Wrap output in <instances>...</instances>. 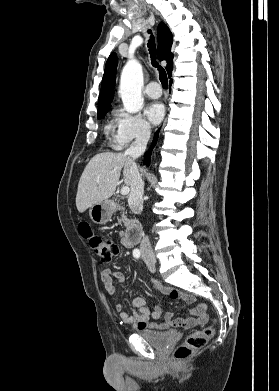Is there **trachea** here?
I'll return each instance as SVG.
<instances>
[{
  "label": "trachea",
  "mask_w": 279,
  "mask_h": 391,
  "mask_svg": "<svg viewBox=\"0 0 279 391\" xmlns=\"http://www.w3.org/2000/svg\"><path fill=\"white\" fill-rule=\"evenodd\" d=\"M148 33H150V39L148 41V48H149V52H150V57H151V63L152 65L158 69L159 71V79H160V82L163 86V88L167 89L168 88V79H167V74H166V71L164 70L163 67H161L159 65V63L157 62V57H156V44H155V38L154 36L152 35V32L151 30H148Z\"/></svg>",
  "instance_id": "3493384b"
}]
</instances>
